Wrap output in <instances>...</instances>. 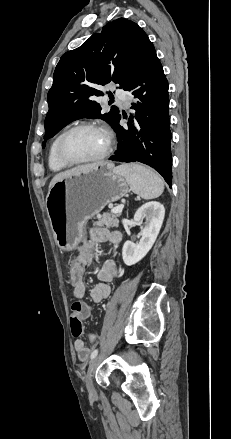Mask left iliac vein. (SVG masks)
<instances>
[{
  "label": "left iliac vein",
  "mask_w": 231,
  "mask_h": 439,
  "mask_svg": "<svg viewBox=\"0 0 231 439\" xmlns=\"http://www.w3.org/2000/svg\"><path fill=\"white\" fill-rule=\"evenodd\" d=\"M99 361H100V356H96L92 359L85 377L87 391L89 393V396L92 398L96 397L97 394L93 384V376Z\"/></svg>",
  "instance_id": "obj_1"
}]
</instances>
